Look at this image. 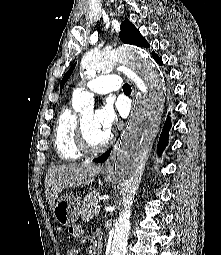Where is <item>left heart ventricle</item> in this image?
<instances>
[{
  "label": "left heart ventricle",
  "mask_w": 221,
  "mask_h": 255,
  "mask_svg": "<svg viewBox=\"0 0 221 255\" xmlns=\"http://www.w3.org/2000/svg\"><path fill=\"white\" fill-rule=\"evenodd\" d=\"M83 125L87 139L93 146H100L109 136V134L96 123L95 113L93 111H89L83 116Z\"/></svg>",
  "instance_id": "obj_1"
}]
</instances>
